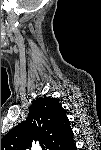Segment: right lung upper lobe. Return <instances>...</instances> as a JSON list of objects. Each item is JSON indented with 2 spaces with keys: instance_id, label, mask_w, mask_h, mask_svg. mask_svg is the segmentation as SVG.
Wrapping results in <instances>:
<instances>
[{
  "instance_id": "1",
  "label": "right lung upper lobe",
  "mask_w": 101,
  "mask_h": 150,
  "mask_svg": "<svg viewBox=\"0 0 101 150\" xmlns=\"http://www.w3.org/2000/svg\"><path fill=\"white\" fill-rule=\"evenodd\" d=\"M44 143L50 150H67L73 142L69 120L54 98L33 102L28 118L10 130L1 140V150H25L32 142Z\"/></svg>"
}]
</instances>
